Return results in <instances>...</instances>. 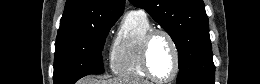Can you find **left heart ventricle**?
Listing matches in <instances>:
<instances>
[{"instance_id": "left-heart-ventricle-1", "label": "left heart ventricle", "mask_w": 260, "mask_h": 84, "mask_svg": "<svg viewBox=\"0 0 260 84\" xmlns=\"http://www.w3.org/2000/svg\"><path fill=\"white\" fill-rule=\"evenodd\" d=\"M150 66L160 79L169 78L174 71V53L170 42L163 35H157L151 43Z\"/></svg>"}]
</instances>
